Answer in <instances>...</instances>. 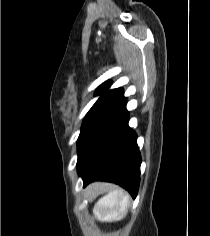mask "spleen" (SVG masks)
Here are the masks:
<instances>
[{"label":"spleen","instance_id":"spleen-1","mask_svg":"<svg viewBox=\"0 0 210 236\" xmlns=\"http://www.w3.org/2000/svg\"><path fill=\"white\" fill-rule=\"evenodd\" d=\"M128 207L129 195L121 189H115L98 200L93 213L100 221H119L126 215Z\"/></svg>","mask_w":210,"mask_h":236}]
</instances>
